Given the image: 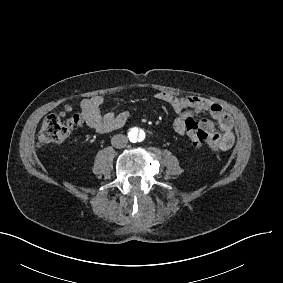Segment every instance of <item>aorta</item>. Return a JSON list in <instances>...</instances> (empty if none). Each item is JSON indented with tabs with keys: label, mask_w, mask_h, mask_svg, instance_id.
<instances>
[{
	"label": "aorta",
	"mask_w": 283,
	"mask_h": 283,
	"mask_svg": "<svg viewBox=\"0 0 283 283\" xmlns=\"http://www.w3.org/2000/svg\"><path fill=\"white\" fill-rule=\"evenodd\" d=\"M128 137L132 143H136L142 142L145 139L146 134L144 130L138 127H132L128 132Z\"/></svg>",
	"instance_id": "1"
}]
</instances>
